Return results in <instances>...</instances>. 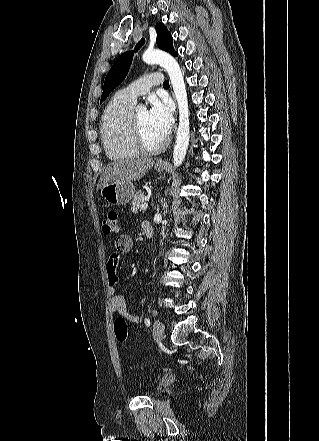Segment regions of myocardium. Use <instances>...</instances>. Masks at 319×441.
Returning a JSON list of instances; mask_svg holds the SVG:
<instances>
[{
	"mask_svg": "<svg viewBox=\"0 0 319 441\" xmlns=\"http://www.w3.org/2000/svg\"><path fill=\"white\" fill-rule=\"evenodd\" d=\"M130 128L132 142L139 153L156 154L161 152L167 146L166 139H163L159 144L154 146L148 145L145 142L135 112L131 115Z\"/></svg>",
	"mask_w": 319,
	"mask_h": 441,
	"instance_id": "myocardium-1",
	"label": "myocardium"
}]
</instances>
